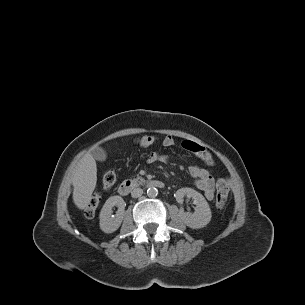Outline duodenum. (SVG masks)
Returning a JSON list of instances; mask_svg holds the SVG:
<instances>
[{
  "mask_svg": "<svg viewBox=\"0 0 305 305\" xmlns=\"http://www.w3.org/2000/svg\"><path fill=\"white\" fill-rule=\"evenodd\" d=\"M164 182L160 180H152L148 183V186L155 188H163ZM133 189V183L131 181H123L118 187V193L121 196H127Z\"/></svg>",
  "mask_w": 305,
  "mask_h": 305,
  "instance_id": "duodenum-1",
  "label": "duodenum"
}]
</instances>
